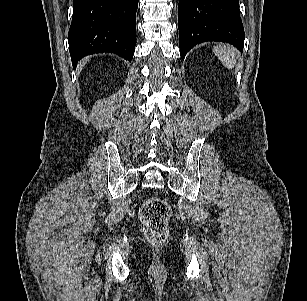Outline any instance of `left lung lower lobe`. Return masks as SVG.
Masks as SVG:
<instances>
[{
    "label": "left lung lower lobe",
    "instance_id": "0a47b994",
    "mask_svg": "<svg viewBox=\"0 0 307 301\" xmlns=\"http://www.w3.org/2000/svg\"><path fill=\"white\" fill-rule=\"evenodd\" d=\"M178 28L182 59L202 42H227L240 51L244 46L239 0H179Z\"/></svg>",
    "mask_w": 307,
    "mask_h": 301
}]
</instances>
